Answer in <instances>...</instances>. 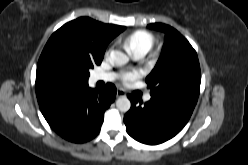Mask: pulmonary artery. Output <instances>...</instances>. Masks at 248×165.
<instances>
[{
  "label": "pulmonary artery",
  "instance_id": "pulmonary-artery-1",
  "mask_svg": "<svg viewBox=\"0 0 248 165\" xmlns=\"http://www.w3.org/2000/svg\"><path fill=\"white\" fill-rule=\"evenodd\" d=\"M147 51L146 50H138L133 53L134 57L139 59L142 58L146 55ZM115 78V74L113 73H103V72H98L94 74L93 79L95 81H112ZM151 99V96L148 94L145 96V100L149 101Z\"/></svg>",
  "mask_w": 248,
  "mask_h": 165
}]
</instances>
